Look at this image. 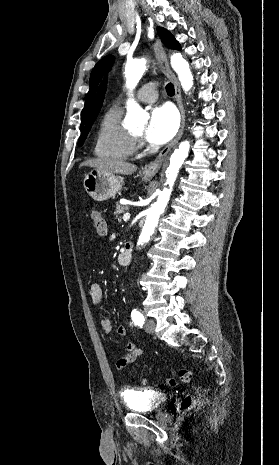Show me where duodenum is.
Here are the masks:
<instances>
[{"instance_id":"duodenum-1","label":"duodenum","mask_w":279,"mask_h":465,"mask_svg":"<svg viewBox=\"0 0 279 465\" xmlns=\"http://www.w3.org/2000/svg\"><path fill=\"white\" fill-rule=\"evenodd\" d=\"M132 244L126 243L118 255V262L121 265H127L131 261Z\"/></svg>"}]
</instances>
